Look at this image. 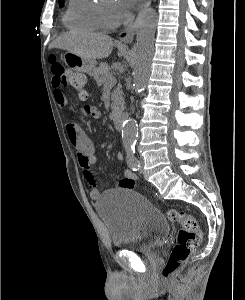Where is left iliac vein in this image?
<instances>
[{
    "label": "left iliac vein",
    "mask_w": 245,
    "mask_h": 300,
    "mask_svg": "<svg viewBox=\"0 0 245 300\" xmlns=\"http://www.w3.org/2000/svg\"><path fill=\"white\" fill-rule=\"evenodd\" d=\"M138 163H139V165H140V172H142V171H143V166H144V160H143L142 158H140V159L138 160Z\"/></svg>",
    "instance_id": "1"
}]
</instances>
